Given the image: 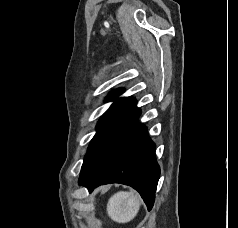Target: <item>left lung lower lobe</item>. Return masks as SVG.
<instances>
[{
    "label": "left lung lower lobe",
    "mask_w": 238,
    "mask_h": 228,
    "mask_svg": "<svg viewBox=\"0 0 238 228\" xmlns=\"http://www.w3.org/2000/svg\"><path fill=\"white\" fill-rule=\"evenodd\" d=\"M138 109L113 139L98 167L89 175L79 178L90 192L107 183H123L136 189L150 210L160 177L156 162L155 144L147 135L144 125L137 122Z\"/></svg>",
    "instance_id": "1"
}]
</instances>
